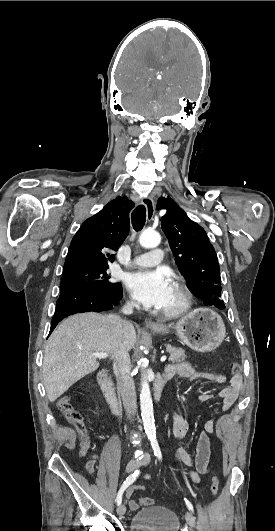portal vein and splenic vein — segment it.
Returning a JSON list of instances; mask_svg holds the SVG:
<instances>
[{"label":"portal vein and splenic vein","instance_id":"portal-vein-and-splenic-vein-1","mask_svg":"<svg viewBox=\"0 0 275 531\" xmlns=\"http://www.w3.org/2000/svg\"><path fill=\"white\" fill-rule=\"evenodd\" d=\"M91 357H96V359H107L109 355L107 353H91ZM167 357H161L160 361H166Z\"/></svg>","mask_w":275,"mask_h":531}]
</instances>
